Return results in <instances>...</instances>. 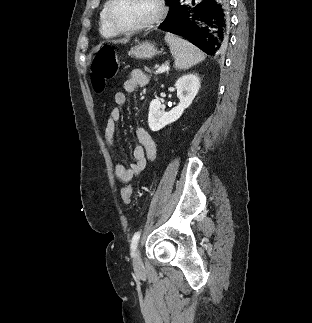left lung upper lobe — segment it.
Returning <instances> with one entry per match:
<instances>
[{
  "instance_id": "left-lung-upper-lobe-1",
  "label": "left lung upper lobe",
  "mask_w": 312,
  "mask_h": 323,
  "mask_svg": "<svg viewBox=\"0 0 312 323\" xmlns=\"http://www.w3.org/2000/svg\"><path fill=\"white\" fill-rule=\"evenodd\" d=\"M166 1H167V4H169L170 9H169L168 15L163 23L169 21L173 17V15L175 14V11L179 5V2H180V0H166Z\"/></svg>"
}]
</instances>
